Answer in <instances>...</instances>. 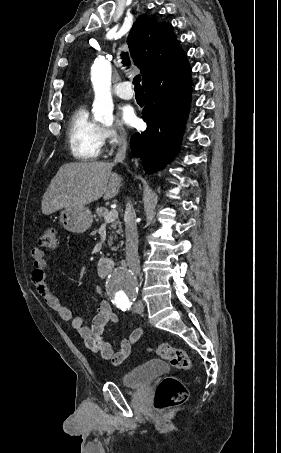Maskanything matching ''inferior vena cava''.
<instances>
[{
	"instance_id": "inferior-vena-cava-1",
	"label": "inferior vena cava",
	"mask_w": 281,
	"mask_h": 453,
	"mask_svg": "<svg viewBox=\"0 0 281 453\" xmlns=\"http://www.w3.org/2000/svg\"><path fill=\"white\" fill-rule=\"evenodd\" d=\"M118 142L120 146L118 148V152H116L114 162H121V160H124L126 154L127 140L124 134H120ZM124 220L126 235V261L128 263L129 269H131L132 273H134V277H139L140 261L138 257V233L136 227V214L132 204H130V200L126 204Z\"/></svg>"
}]
</instances>
